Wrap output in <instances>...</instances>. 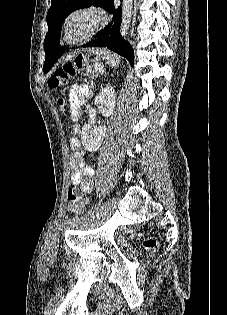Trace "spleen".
I'll list each match as a JSON object with an SVG mask.
<instances>
[{
  "mask_svg": "<svg viewBox=\"0 0 227 315\" xmlns=\"http://www.w3.org/2000/svg\"><path fill=\"white\" fill-rule=\"evenodd\" d=\"M105 58L107 60V63H109L112 67L117 66L116 56L110 53L105 54Z\"/></svg>",
  "mask_w": 227,
  "mask_h": 315,
  "instance_id": "spleen-1",
  "label": "spleen"
}]
</instances>
